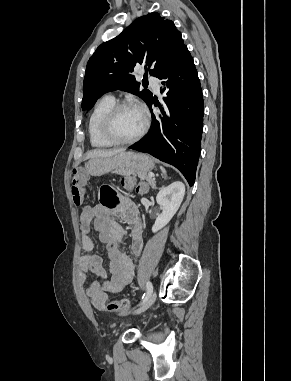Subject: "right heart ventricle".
<instances>
[{
	"label": "right heart ventricle",
	"instance_id": "1",
	"mask_svg": "<svg viewBox=\"0 0 291 381\" xmlns=\"http://www.w3.org/2000/svg\"><path fill=\"white\" fill-rule=\"evenodd\" d=\"M115 99L110 96H104L95 104L89 120L88 135L91 146L98 149L112 147L113 144L107 141L100 132V123L106 112L115 104Z\"/></svg>",
	"mask_w": 291,
	"mask_h": 381
}]
</instances>
